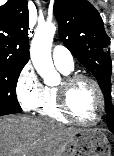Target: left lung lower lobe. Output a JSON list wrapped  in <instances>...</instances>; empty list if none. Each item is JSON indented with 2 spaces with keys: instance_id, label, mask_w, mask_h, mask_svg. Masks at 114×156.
Returning a JSON list of instances; mask_svg holds the SVG:
<instances>
[{
  "instance_id": "0a47b994",
  "label": "left lung lower lobe",
  "mask_w": 114,
  "mask_h": 156,
  "mask_svg": "<svg viewBox=\"0 0 114 156\" xmlns=\"http://www.w3.org/2000/svg\"><path fill=\"white\" fill-rule=\"evenodd\" d=\"M109 130L114 134V128H110Z\"/></svg>"
}]
</instances>
